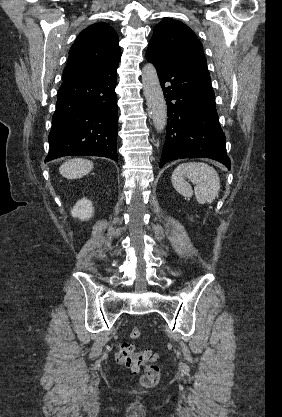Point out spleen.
<instances>
[{
	"label": "spleen",
	"instance_id": "1",
	"mask_svg": "<svg viewBox=\"0 0 282 417\" xmlns=\"http://www.w3.org/2000/svg\"><path fill=\"white\" fill-rule=\"evenodd\" d=\"M184 176L195 184L194 192L199 204H204L206 200L213 202L218 196L221 184L219 174L213 166L206 162H183L175 168L172 174L174 188L185 198H191L192 186L184 180Z\"/></svg>",
	"mask_w": 282,
	"mask_h": 417
}]
</instances>
